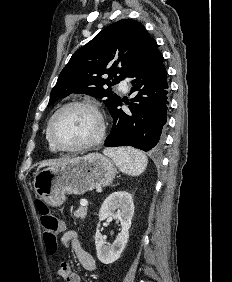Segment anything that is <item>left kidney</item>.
Here are the masks:
<instances>
[{
	"label": "left kidney",
	"instance_id": "left-kidney-1",
	"mask_svg": "<svg viewBox=\"0 0 232 282\" xmlns=\"http://www.w3.org/2000/svg\"><path fill=\"white\" fill-rule=\"evenodd\" d=\"M134 214L133 197L126 191L110 194L103 202L99 211V223L95 234V245L98 259L104 264L118 260L129 239V229ZM107 218L120 221L121 232L111 246H108L100 233V222Z\"/></svg>",
	"mask_w": 232,
	"mask_h": 282
}]
</instances>
